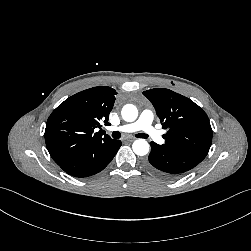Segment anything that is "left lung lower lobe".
Here are the masks:
<instances>
[{
	"label": "left lung lower lobe",
	"instance_id": "0a47b994",
	"mask_svg": "<svg viewBox=\"0 0 251 251\" xmlns=\"http://www.w3.org/2000/svg\"><path fill=\"white\" fill-rule=\"evenodd\" d=\"M151 153L145 162L146 168L154 175L171 180L194 168L201 161L175 149L150 143Z\"/></svg>",
	"mask_w": 251,
	"mask_h": 251
}]
</instances>
